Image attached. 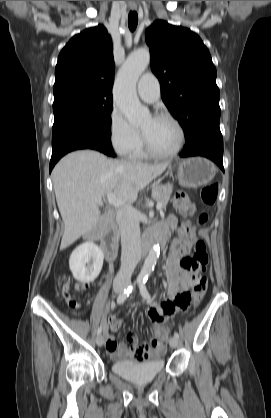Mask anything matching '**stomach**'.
Segmentation results:
<instances>
[{
    "label": "stomach",
    "instance_id": "1",
    "mask_svg": "<svg viewBox=\"0 0 271 418\" xmlns=\"http://www.w3.org/2000/svg\"><path fill=\"white\" fill-rule=\"evenodd\" d=\"M177 171L179 183L188 188H197L208 184L215 176L216 167L208 159L192 157L176 161L170 166Z\"/></svg>",
    "mask_w": 271,
    "mask_h": 418
}]
</instances>
